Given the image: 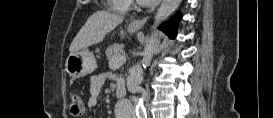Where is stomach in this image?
Returning a JSON list of instances; mask_svg holds the SVG:
<instances>
[{
	"mask_svg": "<svg viewBox=\"0 0 273 118\" xmlns=\"http://www.w3.org/2000/svg\"><path fill=\"white\" fill-rule=\"evenodd\" d=\"M137 29L129 27L130 32H135ZM66 72L70 77L77 79L91 74L97 67L95 56L87 49L79 50L70 53L65 63Z\"/></svg>",
	"mask_w": 273,
	"mask_h": 118,
	"instance_id": "0dacf381",
	"label": "stomach"
}]
</instances>
